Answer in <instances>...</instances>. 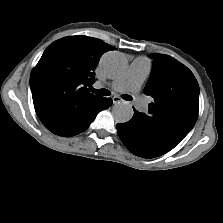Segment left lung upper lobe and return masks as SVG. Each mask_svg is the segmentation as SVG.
Wrapping results in <instances>:
<instances>
[{
  "label": "left lung upper lobe",
  "instance_id": "5c2ea615",
  "mask_svg": "<svg viewBox=\"0 0 223 223\" xmlns=\"http://www.w3.org/2000/svg\"><path fill=\"white\" fill-rule=\"evenodd\" d=\"M155 62L144 93L151 96L148 114L134 115L150 131L177 141L194 127L199 111V85L189 69L176 59L154 54Z\"/></svg>",
  "mask_w": 223,
  "mask_h": 223
}]
</instances>
